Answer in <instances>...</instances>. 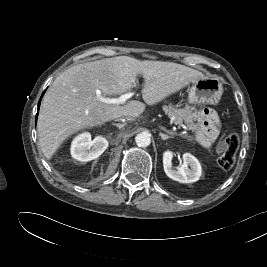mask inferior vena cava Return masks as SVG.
I'll list each match as a JSON object with an SVG mask.
<instances>
[{
    "label": "inferior vena cava",
    "instance_id": "602c4592",
    "mask_svg": "<svg viewBox=\"0 0 267 267\" xmlns=\"http://www.w3.org/2000/svg\"><path fill=\"white\" fill-rule=\"evenodd\" d=\"M136 119V116L134 115H128V116H125V117H121V118H118L116 119L117 121L120 120V121H134Z\"/></svg>",
    "mask_w": 267,
    "mask_h": 267
}]
</instances>
